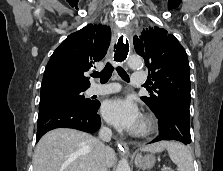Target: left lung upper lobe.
Instances as JSON below:
<instances>
[{
    "instance_id": "obj_1",
    "label": "left lung upper lobe",
    "mask_w": 223,
    "mask_h": 171,
    "mask_svg": "<svg viewBox=\"0 0 223 171\" xmlns=\"http://www.w3.org/2000/svg\"><path fill=\"white\" fill-rule=\"evenodd\" d=\"M134 48L145 60L148 80L153 91L141 99L159 117L168 105H177L189 111L190 67L186 51L178 40L165 29L149 27L140 38L134 37ZM151 72V74H150Z\"/></svg>"
}]
</instances>
